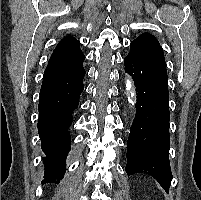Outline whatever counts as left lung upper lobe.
Returning a JSON list of instances; mask_svg holds the SVG:
<instances>
[{
    "instance_id": "obj_1",
    "label": "left lung upper lobe",
    "mask_w": 201,
    "mask_h": 200,
    "mask_svg": "<svg viewBox=\"0 0 201 200\" xmlns=\"http://www.w3.org/2000/svg\"><path fill=\"white\" fill-rule=\"evenodd\" d=\"M129 54L141 58H164L163 50L158 40L149 33H143L131 42Z\"/></svg>"
}]
</instances>
